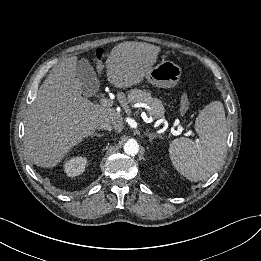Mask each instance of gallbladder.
Instances as JSON below:
<instances>
[{
    "label": "gallbladder",
    "mask_w": 261,
    "mask_h": 261,
    "mask_svg": "<svg viewBox=\"0 0 261 261\" xmlns=\"http://www.w3.org/2000/svg\"><path fill=\"white\" fill-rule=\"evenodd\" d=\"M76 77L81 84V92L85 96L93 95L99 88V81L90 62L82 58L77 62Z\"/></svg>",
    "instance_id": "bac80fb5"
}]
</instances>
